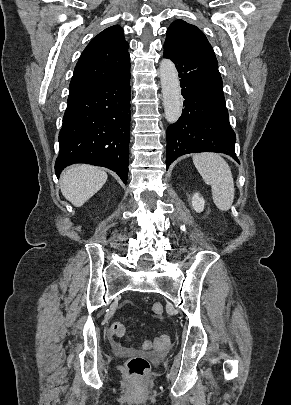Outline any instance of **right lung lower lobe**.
Masks as SVG:
<instances>
[{"mask_svg": "<svg viewBox=\"0 0 291 405\" xmlns=\"http://www.w3.org/2000/svg\"><path fill=\"white\" fill-rule=\"evenodd\" d=\"M130 73L68 101L59 132L55 172L73 163L115 171L127 184L130 134Z\"/></svg>", "mask_w": 291, "mask_h": 405, "instance_id": "right-lung-lower-lobe-1", "label": "right lung lower lobe"}]
</instances>
